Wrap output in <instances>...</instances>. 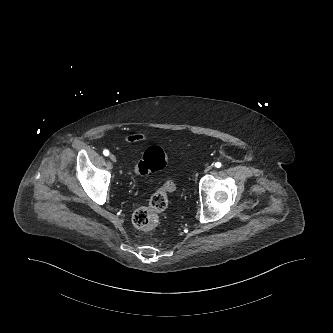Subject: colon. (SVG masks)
Wrapping results in <instances>:
<instances>
[{
    "label": "colon",
    "mask_w": 333,
    "mask_h": 333,
    "mask_svg": "<svg viewBox=\"0 0 333 333\" xmlns=\"http://www.w3.org/2000/svg\"><path fill=\"white\" fill-rule=\"evenodd\" d=\"M167 156L159 146L149 147L135 164V172L145 176L151 172L163 169L166 166ZM176 185L168 181L162 185L149 199L147 206L140 207L133 213V224L136 228L149 231L155 228L159 215L167 208L168 194L174 192Z\"/></svg>",
    "instance_id": "colon-1"
}]
</instances>
